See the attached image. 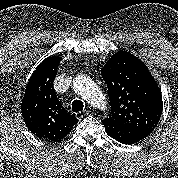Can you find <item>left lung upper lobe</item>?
I'll use <instances>...</instances> for the list:
<instances>
[{
	"label": "left lung upper lobe",
	"instance_id": "obj_1",
	"mask_svg": "<svg viewBox=\"0 0 178 178\" xmlns=\"http://www.w3.org/2000/svg\"><path fill=\"white\" fill-rule=\"evenodd\" d=\"M111 112L108 120L153 130L163 110L162 95L147 66L127 51H118L104 65Z\"/></svg>",
	"mask_w": 178,
	"mask_h": 178
}]
</instances>
